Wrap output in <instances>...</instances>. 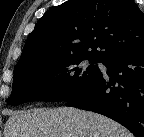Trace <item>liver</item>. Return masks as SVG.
Listing matches in <instances>:
<instances>
[{
    "mask_svg": "<svg viewBox=\"0 0 144 137\" xmlns=\"http://www.w3.org/2000/svg\"><path fill=\"white\" fill-rule=\"evenodd\" d=\"M4 137H133L122 125L72 107L13 111Z\"/></svg>",
    "mask_w": 144,
    "mask_h": 137,
    "instance_id": "liver-1",
    "label": "liver"
}]
</instances>
